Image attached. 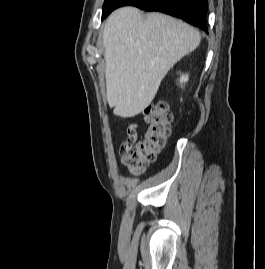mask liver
<instances>
[{"label": "liver", "instance_id": "obj_1", "mask_svg": "<svg viewBox=\"0 0 265 269\" xmlns=\"http://www.w3.org/2000/svg\"><path fill=\"white\" fill-rule=\"evenodd\" d=\"M200 33L183 21L135 7L114 11L103 32L107 101L113 113L130 118L153 101L161 81L200 44Z\"/></svg>", "mask_w": 265, "mask_h": 269}]
</instances>
